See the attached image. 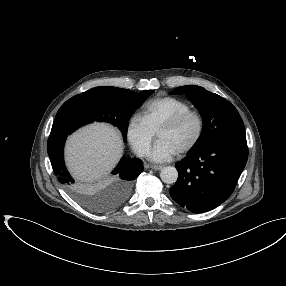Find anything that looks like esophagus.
Segmentation results:
<instances>
[{
  "label": "esophagus",
  "instance_id": "34e87169",
  "mask_svg": "<svg viewBox=\"0 0 286 286\" xmlns=\"http://www.w3.org/2000/svg\"><path fill=\"white\" fill-rule=\"evenodd\" d=\"M149 167L151 169L157 170V171H159V170H161L163 168V166H161V165H150Z\"/></svg>",
  "mask_w": 286,
  "mask_h": 286
}]
</instances>
